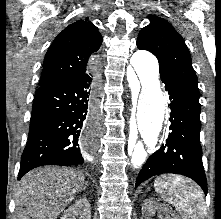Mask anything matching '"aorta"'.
Wrapping results in <instances>:
<instances>
[{"mask_svg":"<svg viewBox=\"0 0 221 219\" xmlns=\"http://www.w3.org/2000/svg\"><path fill=\"white\" fill-rule=\"evenodd\" d=\"M130 64L136 71L141 91L135 114L136 131L149 148L155 147L165 117V96L159 82V64L154 55L145 50L133 54ZM128 156L134 168L145 162L147 153L141 140L134 139L128 147Z\"/></svg>","mask_w":221,"mask_h":219,"instance_id":"1","label":"aorta"}]
</instances>
